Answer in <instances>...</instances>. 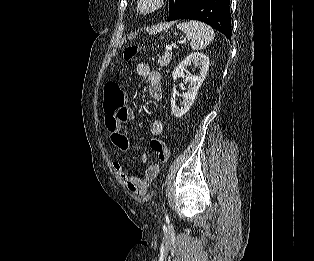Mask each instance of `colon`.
I'll return each instance as SVG.
<instances>
[{"mask_svg": "<svg viewBox=\"0 0 314 261\" xmlns=\"http://www.w3.org/2000/svg\"><path fill=\"white\" fill-rule=\"evenodd\" d=\"M138 53V48L129 46L124 51V59L132 60ZM125 103V94L121 85L116 81H110L105 85L104 109L113 112ZM152 151L157 155L160 162H166L170 151L166 144L158 138H153L150 143Z\"/></svg>", "mask_w": 314, "mask_h": 261, "instance_id": "1", "label": "colon"}]
</instances>
